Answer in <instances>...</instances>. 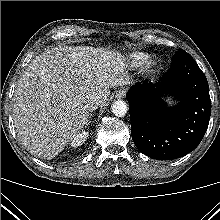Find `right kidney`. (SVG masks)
I'll return each instance as SVG.
<instances>
[{
    "label": "right kidney",
    "instance_id": "1",
    "mask_svg": "<svg viewBox=\"0 0 220 220\" xmlns=\"http://www.w3.org/2000/svg\"><path fill=\"white\" fill-rule=\"evenodd\" d=\"M88 136H89V133L86 131H81V132L74 134L71 140V146L72 147L81 146L83 143H85Z\"/></svg>",
    "mask_w": 220,
    "mask_h": 220
}]
</instances>
